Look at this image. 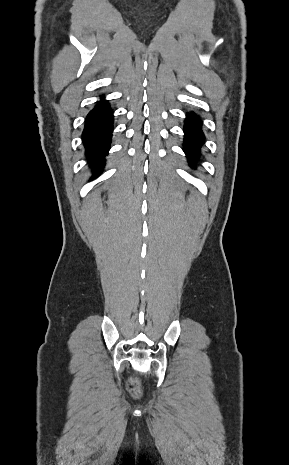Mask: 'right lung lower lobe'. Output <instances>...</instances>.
Returning <instances> with one entry per match:
<instances>
[{
	"instance_id": "obj_1",
	"label": "right lung lower lobe",
	"mask_w": 289,
	"mask_h": 465,
	"mask_svg": "<svg viewBox=\"0 0 289 465\" xmlns=\"http://www.w3.org/2000/svg\"><path fill=\"white\" fill-rule=\"evenodd\" d=\"M112 131V110L110 105L101 98L93 110L88 113L82 133L85 154L93 171V177L100 174L105 164V156L110 149Z\"/></svg>"
}]
</instances>
